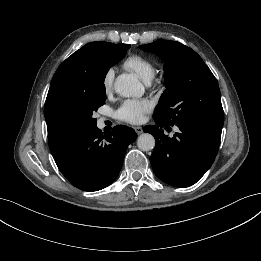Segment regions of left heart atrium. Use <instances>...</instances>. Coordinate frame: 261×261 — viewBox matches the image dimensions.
Masks as SVG:
<instances>
[{
	"label": "left heart atrium",
	"mask_w": 261,
	"mask_h": 261,
	"mask_svg": "<svg viewBox=\"0 0 261 261\" xmlns=\"http://www.w3.org/2000/svg\"><path fill=\"white\" fill-rule=\"evenodd\" d=\"M152 109L153 103L149 99H128L116 110L115 116L123 122L137 124L141 123Z\"/></svg>",
	"instance_id": "1"
}]
</instances>
